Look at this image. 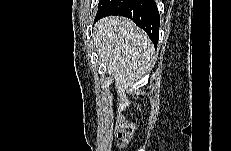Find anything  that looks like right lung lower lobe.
Returning a JSON list of instances; mask_svg holds the SVG:
<instances>
[{
  "label": "right lung lower lobe",
  "mask_w": 231,
  "mask_h": 151,
  "mask_svg": "<svg viewBox=\"0 0 231 151\" xmlns=\"http://www.w3.org/2000/svg\"><path fill=\"white\" fill-rule=\"evenodd\" d=\"M109 15L132 19L144 29L154 46L158 43L160 15L154 0H100L95 22Z\"/></svg>",
  "instance_id": "1"
}]
</instances>
